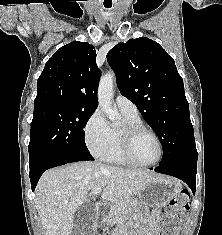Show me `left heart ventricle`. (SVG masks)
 Instances as JSON below:
<instances>
[{
	"instance_id": "b2bd125f",
	"label": "left heart ventricle",
	"mask_w": 222,
	"mask_h": 235,
	"mask_svg": "<svg viewBox=\"0 0 222 235\" xmlns=\"http://www.w3.org/2000/svg\"><path fill=\"white\" fill-rule=\"evenodd\" d=\"M159 147L153 136L140 134L133 145V156L140 163H151L157 159Z\"/></svg>"
}]
</instances>
